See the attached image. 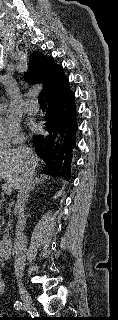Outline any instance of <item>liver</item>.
I'll use <instances>...</instances> for the list:
<instances>
[{
    "label": "liver",
    "instance_id": "obj_1",
    "mask_svg": "<svg viewBox=\"0 0 118 320\" xmlns=\"http://www.w3.org/2000/svg\"><path fill=\"white\" fill-rule=\"evenodd\" d=\"M40 159L33 155L30 168L35 173ZM26 161L17 149H0V178L9 182L14 189H18L22 175L25 172Z\"/></svg>",
    "mask_w": 118,
    "mask_h": 320
}]
</instances>
